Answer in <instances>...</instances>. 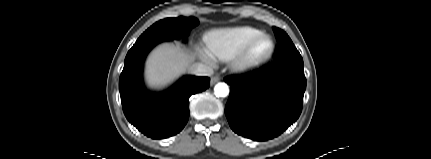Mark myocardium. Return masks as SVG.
Returning <instances> with one entry per match:
<instances>
[{"label": "myocardium", "instance_id": "myocardium-1", "mask_svg": "<svg viewBox=\"0 0 431 159\" xmlns=\"http://www.w3.org/2000/svg\"><path fill=\"white\" fill-rule=\"evenodd\" d=\"M266 40L269 43L268 48L257 54L255 48L260 41ZM275 43L273 38L266 33H259L248 40L232 57L231 66L236 71H246L253 69L265 63L273 54Z\"/></svg>", "mask_w": 431, "mask_h": 159}]
</instances>
